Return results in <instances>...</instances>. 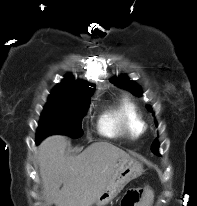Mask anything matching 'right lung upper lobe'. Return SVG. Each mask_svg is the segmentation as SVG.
<instances>
[{
  "mask_svg": "<svg viewBox=\"0 0 197 206\" xmlns=\"http://www.w3.org/2000/svg\"><path fill=\"white\" fill-rule=\"evenodd\" d=\"M93 87L95 86L86 82L75 81L72 76L67 75L63 81L53 89L51 94L87 97L93 93Z\"/></svg>",
  "mask_w": 197,
  "mask_h": 206,
  "instance_id": "cb5924a9",
  "label": "right lung upper lobe"
}]
</instances>
